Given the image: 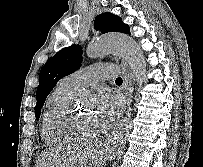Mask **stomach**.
Listing matches in <instances>:
<instances>
[{
	"label": "stomach",
	"instance_id": "0dacf381",
	"mask_svg": "<svg viewBox=\"0 0 203 167\" xmlns=\"http://www.w3.org/2000/svg\"><path fill=\"white\" fill-rule=\"evenodd\" d=\"M95 160H101V153H100V151H99V153L96 154V159Z\"/></svg>",
	"mask_w": 203,
	"mask_h": 167
}]
</instances>
